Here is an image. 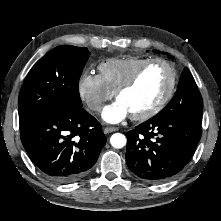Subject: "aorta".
Segmentation results:
<instances>
[{
	"label": "aorta",
	"mask_w": 221,
	"mask_h": 221,
	"mask_svg": "<svg viewBox=\"0 0 221 221\" xmlns=\"http://www.w3.org/2000/svg\"><path fill=\"white\" fill-rule=\"evenodd\" d=\"M126 142V137L121 133H114L110 138L111 145L116 149L123 148Z\"/></svg>",
	"instance_id": "1"
}]
</instances>
